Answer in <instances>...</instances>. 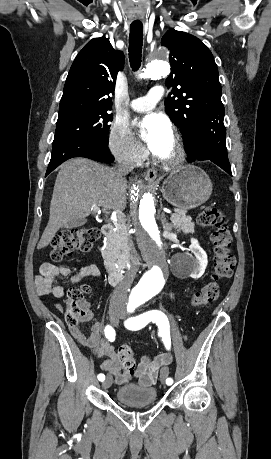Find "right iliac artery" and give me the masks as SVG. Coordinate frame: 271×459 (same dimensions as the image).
Masks as SVG:
<instances>
[{"label": "right iliac artery", "mask_w": 271, "mask_h": 459, "mask_svg": "<svg viewBox=\"0 0 271 459\" xmlns=\"http://www.w3.org/2000/svg\"><path fill=\"white\" fill-rule=\"evenodd\" d=\"M104 332H105V336L106 338L113 342L115 340V336H116V333H115V330L113 329L112 326L110 325H107L104 329ZM98 380L100 381H104L105 380V375L104 374H99L98 375Z\"/></svg>", "instance_id": "1"}]
</instances>
